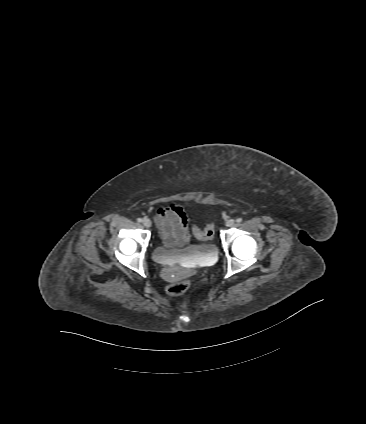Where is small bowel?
Here are the masks:
<instances>
[{
    "label": "small bowel",
    "mask_w": 366,
    "mask_h": 424,
    "mask_svg": "<svg viewBox=\"0 0 366 424\" xmlns=\"http://www.w3.org/2000/svg\"><path fill=\"white\" fill-rule=\"evenodd\" d=\"M155 221L164 242L169 246L183 245L187 241L185 229L186 215L175 204L157 210Z\"/></svg>",
    "instance_id": "c3829d8e"
}]
</instances>
